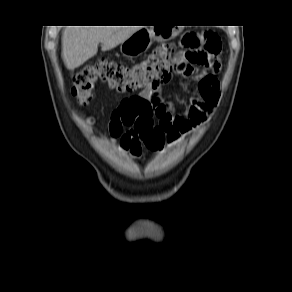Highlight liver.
<instances>
[{"mask_svg": "<svg viewBox=\"0 0 292 292\" xmlns=\"http://www.w3.org/2000/svg\"><path fill=\"white\" fill-rule=\"evenodd\" d=\"M140 28L136 26H67L62 35V56L73 70L96 55L98 44L110 50L127 40Z\"/></svg>", "mask_w": 292, "mask_h": 292, "instance_id": "liver-1", "label": "liver"}]
</instances>
